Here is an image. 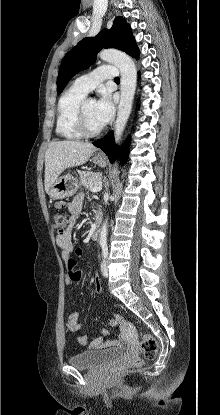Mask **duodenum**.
<instances>
[{
    "label": "duodenum",
    "mask_w": 220,
    "mask_h": 415,
    "mask_svg": "<svg viewBox=\"0 0 220 415\" xmlns=\"http://www.w3.org/2000/svg\"><path fill=\"white\" fill-rule=\"evenodd\" d=\"M100 224H101V215L99 213H97V215L95 217L94 225H93V228H92V237L93 238L98 237L99 230H100Z\"/></svg>",
    "instance_id": "duodenum-1"
}]
</instances>
